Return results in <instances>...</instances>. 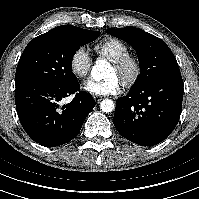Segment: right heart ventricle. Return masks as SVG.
Wrapping results in <instances>:
<instances>
[{
    "mask_svg": "<svg viewBox=\"0 0 199 199\" xmlns=\"http://www.w3.org/2000/svg\"><path fill=\"white\" fill-rule=\"evenodd\" d=\"M95 52L111 62L129 53V47L117 38H106L94 46Z\"/></svg>",
    "mask_w": 199,
    "mask_h": 199,
    "instance_id": "1",
    "label": "right heart ventricle"
}]
</instances>
